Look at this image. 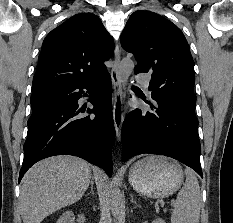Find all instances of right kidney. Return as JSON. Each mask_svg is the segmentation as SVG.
<instances>
[{"mask_svg": "<svg viewBox=\"0 0 233 223\" xmlns=\"http://www.w3.org/2000/svg\"><path fill=\"white\" fill-rule=\"evenodd\" d=\"M57 223H75V215L73 211H65L63 215H60Z\"/></svg>", "mask_w": 233, "mask_h": 223, "instance_id": "obj_1", "label": "right kidney"}]
</instances>
